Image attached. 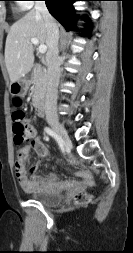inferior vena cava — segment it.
Wrapping results in <instances>:
<instances>
[{
  "instance_id": "602c4592",
  "label": "inferior vena cava",
  "mask_w": 133,
  "mask_h": 253,
  "mask_svg": "<svg viewBox=\"0 0 133 253\" xmlns=\"http://www.w3.org/2000/svg\"><path fill=\"white\" fill-rule=\"evenodd\" d=\"M35 11L40 13L44 19L47 30V46L48 52L46 54L47 62V91L45 100L46 119L57 118V87L60 78V60H59V29L50 15L45 1H36Z\"/></svg>"
}]
</instances>
